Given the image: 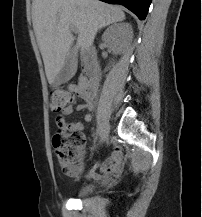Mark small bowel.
Here are the masks:
<instances>
[{
    "label": "small bowel",
    "instance_id": "1",
    "mask_svg": "<svg viewBox=\"0 0 202 217\" xmlns=\"http://www.w3.org/2000/svg\"><path fill=\"white\" fill-rule=\"evenodd\" d=\"M69 90L78 97H81L84 102L77 105L76 109L78 111H91L94 107V98L96 93H89L83 86V79L77 85H69ZM72 106L67 108L64 111V114L68 115L72 112ZM86 122H90L92 120V115L87 113L84 117ZM71 127L77 130H83L84 125L81 122L71 123ZM124 167L123 161V150L119 146H115L113 152L110 157L100 163H96L93 165L89 171L88 176L91 178H99V173L104 174L106 177H110L118 172H120Z\"/></svg>",
    "mask_w": 202,
    "mask_h": 217
}]
</instances>
